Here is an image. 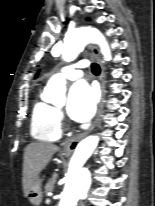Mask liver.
Masks as SVG:
<instances>
[{"instance_id":"1","label":"liver","mask_w":155,"mask_h":206,"mask_svg":"<svg viewBox=\"0 0 155 206\" xmlns=\"http://www.w3.org/2000/svg\"><path fill=\"white\" fill-rule=\"evenodd\" d=\"M59 150L57 145L52 143L33 142L24 151L23 163V190L27 197L34 180L40 172L48 165L53 155Z\"/></svg>"}]
</instances>
